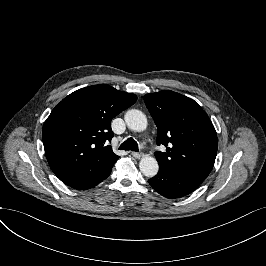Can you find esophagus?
<instances>
[{
    "label": "esophagus",
    "instance_id": "esophagus-1",
    "mask_svg": "<svg viewBox=\"0 0 266 266\" xmlns=\"http://www.w3.org/2000/svg\"><path fill=\"white\" fill-rule=\"evenodd\" d=\"M131 154L136 159H140L143 156V153H138V152H132Z\"/></svg>",
    "mask_w": 266,
    "mask_h": 266
}]
</instances>
